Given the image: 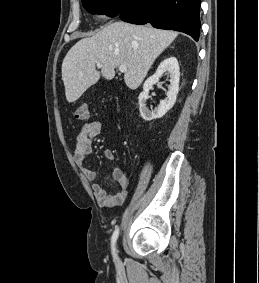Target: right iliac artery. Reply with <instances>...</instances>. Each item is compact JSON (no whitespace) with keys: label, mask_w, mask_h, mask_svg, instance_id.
Instances as JSON below:
<instances>
[{"label":"right iliac artery","mask_w":259,"mask_h":283,"mask_svg":"<svg viewBox=\"0 0 259 283\" xmlns=\"http://www.w3.org/2000/svg\"><path fill=\"white\" fill-rule=\"evenodd\" d=\"M119 235V228L117 227L112 235V239H111V247H112V254L114 259H116V248H115V244H116V240L118 238Z\"/></svg>","instance_id":"right-iliac-artery-1"}]
</instances>
